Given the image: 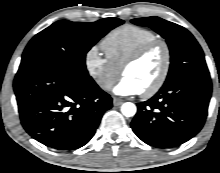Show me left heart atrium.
Returning <instances> with one entry per match:
<instances>
[{"instance_id": "39dd6f15", "label": "left heart atrium", "mask_w": 220, "mask_h": 173, "mask_svg": "<svg viewBox=\"0 0 220 173\" xmlns=\"http://www.w3.org/2000/svg\"><path fill=\"white\" fill-rule=\"evenodd\" d=\"M114 93L120 96L138 95L142 92L138 84L130 77L124 76L114 87Z\"/></svg>"}]
</instances>
